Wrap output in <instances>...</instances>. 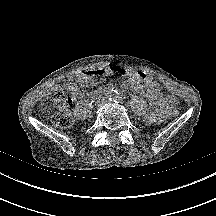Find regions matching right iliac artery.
<instances>
[{"label": "right iliac artery", "instance_id": "right-iliac-artery-1", "mask_svg": "<svg viewBox=\"0 0 216 216\" xmlns=\"http://www.w3.org/2000/svg\"><path fill=\"white\" fill-rule=\"evenodd\" d=\"M115 90H110L108 93H107V98L109 99V100H112L113 98H114V96H115Z\"/></svg>", "mask_w": 216, "mask_h": 216}]
</instances>
